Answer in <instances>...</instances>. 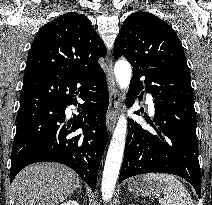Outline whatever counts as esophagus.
Returning <instances> with one entry per match:
<instances>
[{
	"label": "esophagus",
	"instance_id": "34e87169",
	"mask_svg": "<svg viewBox=\"0 0 212 205\" xmlns=\"http://www.w3.org/2000/svg\"><path fill=\"white\" fill-rule=\"evenodd\" d=\"M107 82L110 95L108 116H107V128L109 132H112L115 127L117 112L119 110L120 94L117 87V83L113 75L111 59H108Z\"/></svg>",
	"mask_w": 212,
	"mask_h": 205
}]
</instances>
